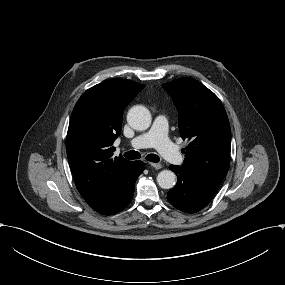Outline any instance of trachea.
<instances>
[{"label": "trachea", "mask_w": 285, "mask_h": 285, "mask_svg": "<svg viewBox=\"0 0 285 285\" xmlns=\"http://www.w3.org/2000/svg\"><path fill=\"white\" fill-rule=\"evenodd\" d=\"M126 159H139L141 157V154L138 151L131 150L129 152H126L123 154ZM146 160L157 163L159 162V157L156 154H148L145 157Z\"/></svg>", "instance_id": "obj_1"}]
</instances>
